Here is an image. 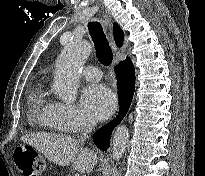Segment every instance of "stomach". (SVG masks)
Returning <instances> with one entry per match:
<instances>
[{
	"mask_svg": "<svg viewBox=\"0 0 205 176\" xmlns=\"http://www.w3.org/2000/svg\"><path fill=\"white\" fill-rule=\"evenodd\" d=\"M20 147H21L22 149H24V150L32 149V150H34V151L36 152L35 148H33V147H31V146H29V145H27V144H22V145H20Z\"/></svg>",
	"mask_w": 205,
	"mask_h": 176,
	"instance_id": "stomach-1",
	"label": "stomach"
}]
</instances>
